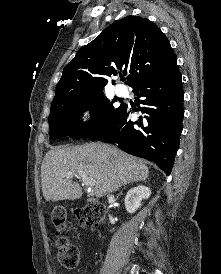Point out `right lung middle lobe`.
I'll return each instance as SVG.
<instances>
[{"mask_svg":"<svg viewBox=\"0 0 221 274\" xmlns=\"http://www.w3.org/2000/svg\"><path fill=\"white\" fill-rule=\"evenodd\" d=\"M103 93L84 98H62L51 106L49 116L50 138L74 136L89 138L105 128L118 114L119 108H114ZM92 114L90 122H79L83 111Z\"/></svg>","mask_w":221,"mask_h":274,"instance_id":"dd1d6c3e","label":"right lung middle lobe"}]
</instances>
